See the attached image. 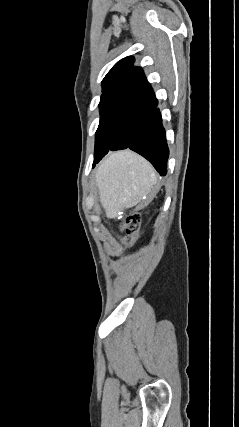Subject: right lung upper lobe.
I'll use <instances>...</instances> for the list:
<instances>
[{"label": "right lung upper lobe", "instance_id": "right-lung-upper-lobe-1", "mask_svg": "<svg viewBox=\"0 0 239 427\" xmlns=\"http://www.w3.org/2000/svg\"><path fill=\"white\" fill-rule=\"evenodd\" d=\"M134 57L128 56L117 62L102 81L101 100L138 98L151 100L155 97L151 85L140 67H134Z\"/></svg>", "mask_w": 239, "mask_h": 427}]
</instances>
